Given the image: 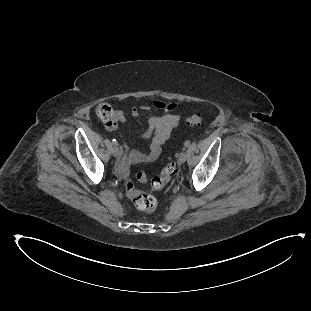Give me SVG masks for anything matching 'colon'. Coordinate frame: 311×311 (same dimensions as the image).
<instances>
[{
  "mask_svg": "<svg viewBox=\"0 0 311 311\" xmlns=\"http://www.w3.org/2000/svg\"><path fill=\"white\" fill-rule=\"evenodd\" d=\"M95 113L102 120L109 119L115 115V111L109 104L97 105L95 107ZM186 123L190 126L200 127L203 124V116L199 112L193 113L186 118ZM177 171V164L174 161H169L157 176L148 181L150 188L156 191L163 189L176 175ZM141 179L143 182L147 181L145 175H142ZM123 190L137 209L144 212H151L156 209L158 204L157 199L150 194L140 191L132 179L124 180Z\"/></svg>",
  "mask_w": 311,
  "mask_h": 311,
  "instance_id": "5ec220e1",
  "label": "colon"
}]
</instances>
